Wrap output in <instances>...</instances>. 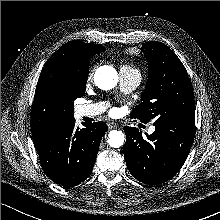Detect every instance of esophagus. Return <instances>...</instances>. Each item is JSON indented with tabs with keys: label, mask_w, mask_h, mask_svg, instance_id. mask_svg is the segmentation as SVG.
Returning <instances> with one entry per match:
<instances>
[{
	"label": "esophagus",
	"mask_w": 220,
	"mask_h": 220,
	"mask_svg": "<svg viewBox=\"0 0 220 220\" xmlns=\"http://www.w3.org/2000/svg\"><path fill=\"white\" fill-rule=\"evenodd\" d=\"M107 125L109 129H114L118 126L116 123H113V122H109Z\"/></svg>",
	"instance_id": "34e87169"
}]
</instances>
